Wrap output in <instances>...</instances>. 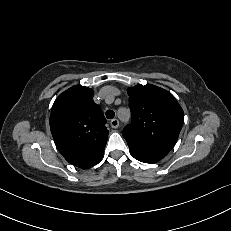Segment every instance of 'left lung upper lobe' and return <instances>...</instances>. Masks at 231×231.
Returning <instances> with one entry per match:
<instances>
[{"label":"left lung upper lobe","mask_w":231,"mask_h":231,"mask_svg":"<svg viewBox=\"0 0 231 231\" xmlns=\"http://www.w3.org/2000/svg\"><path fill=\"white\" fill-rule=\"evenodd\" d=\"M127 92L132 119L122 135L130 150L161 160L178 139L183 110L170 92L152 84L130 87Z\"/></svg>","instance_id":"5c2ea615"}]
</instances>
